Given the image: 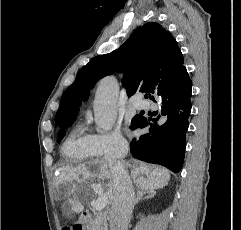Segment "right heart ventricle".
I'll return each instance as SVG.
<instances>
[{
	"instance_id": "e07e8e85",
	"label": "right heart ventricle",
	"mask_w": 241,
	"mask_h": 230,
	"mask_svg": "<svg viewBox=\"0 0 241 230\" xmlns=\"http://www.w3.org/2000/svg\"><path fill=\"white\" fill-rule=\"evenodd\" d=\"M62 152L70 162L86 161L97 156L91 147L89 135L84 133L81 127H77L68 135Z\"/></svg>"
}]
</instances>
